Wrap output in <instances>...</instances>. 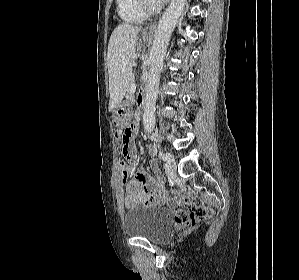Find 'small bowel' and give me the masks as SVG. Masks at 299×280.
Returning a JSON list of instances; mask_svg holds the SVG:
<instances>
[{
	"label": "small bowel",
	"mask_w": 299,
	"mask_h": 280,
	"mask_svg": "<svg viewBox=\"0 0 299 280\" xmlns=\"http://www.w3.org/2000/svg\"><path fill=\"white\" fill-rule=\"evenodd\" d=\"M137 127L138 123H133L130 126L133 133ZM132 151L134 160H136V152L133 146ZM153 153L154 150L150 149V154ZM150 167L154 175L140 170L132 179L126 182L127 191L124 195V205L127 209H134L139 205L150 207L152 205L177 204L182 200L179 195L169 196L164 179L155 160H151Z\"/></svg>",
	"instance_id": "small-bowel-1"
}]
</instances>
